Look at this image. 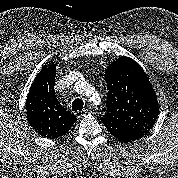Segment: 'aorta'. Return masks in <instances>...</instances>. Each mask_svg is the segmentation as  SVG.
Here are the masks:
<instances>
[{
	"mask_svg": "<svg viewBox=\"0 0 178 178\" xmlns=\"http://www.w3.org/2000/svg\"><path fill=\"white\" fill-rule=\"evenodd\" d=\"M78 84H79V86H83V85L88 86V85H86V82H81V83L79 82ZM86 88H89V87H86Z\"/></svg>",
	"mask_w": 178,
	"mask_h": 178,
	"instance_id": "762f6f07",
	"label": "aorta"
}]
</instances>
